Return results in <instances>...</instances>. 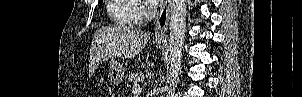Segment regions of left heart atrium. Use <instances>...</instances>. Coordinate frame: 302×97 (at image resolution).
<instances>
[{"label":"left heart atrium","mask_w":302,"mask_h":97,"mask_svg":"<svg viewBox=\"0 0 302 97\" xmlns=\"http://www.w3.org/2000/svg\"><path fill=\"white\" fill-rule=\"evenodd\" d=\"M151 2H155V0H151Z\"/></svg>","instance_id":"39dd6f15"}]
</instances>
